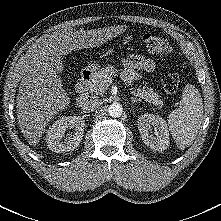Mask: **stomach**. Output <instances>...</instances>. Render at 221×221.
<instances>
[{
    "label": "stomach",
    "mask_w": 221,
    "mask_h": 221,
    "mask_svg": "<svg viewBox=\"0 0 221 221\" xmlns=\"http://www.w3.org/2000/svg\"><path fill=\"white\" fill-rule=\"evenodd\" d=\"M98 68H99L98 64L95 63H90L87 66V69L93 73H95L98 70Z\"/></svg>",
    "instance_id": "stomach-1"
}]
</instances>
